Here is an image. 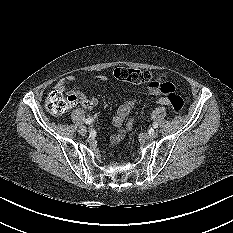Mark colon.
<instances>
[{"label":"colon","instance_id":"colon-1","mask_svg":"<svg viewBox=\"0 0 233 233\" xmlns=\"http://www.w3.org/2000/svg\"><path fill=\"white\" fill-rule=\"evenodd\" d=\"M116 79L122 82H127L133 85L147 84L148 86H156L162 90L167 96L170 106L177 112L181 113L184 110L183 99L175 94L174 86L166 82L163 76H155L149 71L129 68H117L114 71ZM75 98L72 96H64L63 93L52 91L45 100V109L52 115H61L65 113L72 105Z\"/></svg>","mask_w":233,"mask_h":233}]
</instances>
